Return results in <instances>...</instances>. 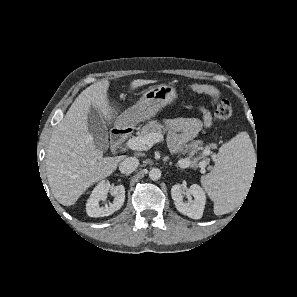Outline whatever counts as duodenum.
I'll return each mask as SVG.
<instances>
[{
	"label": "duodenum",
	"mask_w": 297,
	"mask_h": 297,
	"mask_svg": "<svg viewBox=\"0 0 297 297\" xmlns=\"http://www.w3.org/2000/svg\"><path fill=\"white\" fill-rule=\"evenodd\" d=\"M129 132L130 130L128 129V127L123 124L114 128L111 132L110 137L112 148H119V146L123 143Z\"/></svg>",
	"instance_id": "410a0bca"
}]
</instances>
